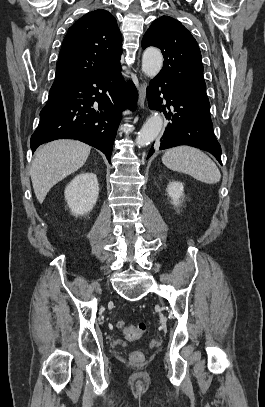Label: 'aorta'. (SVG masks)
<instances>
[{"instance_id": "1", "label": "aorta", "mask_w": 265, "mask_h": 407, "mask_svg": "<svg viewBox=\"0 0 265 407\" xmlns=\"http://www.w3.org/2000/svg\"><path fill=\"white\" fill-rule=\"evenodd\" d=\"M163 65V56L158 49L148 48L142 57V71L148 77H155ZM163 119L158 112H154L138 132L136 143L147 146L153 142L162 130Z\"/></svg>"}]
</instances>
